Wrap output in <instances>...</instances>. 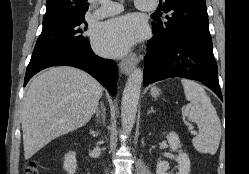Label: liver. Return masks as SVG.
Listing matches in <instances>:
<instances>
[{
    "label": "liver",
    "mask_w": 249,
    "mask_h": 174,
    "mask_svg": "<svg viewBox=\"0 0 249 174\" xmlns=\"http://www.w3.org/2000/svg\"><path fill=\"white\" fill-rule=\"evenodd\" d=\"M102 86L69 66L51 68L30 83L21 111L24 157L84 126L96 111Z\"/></svg>",
    "instance_id": "1"
}]
</instances>
